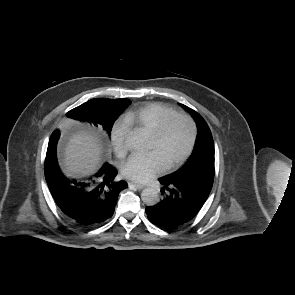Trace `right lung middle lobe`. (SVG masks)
Instances as JSON below:
<instances>
[{
    "instance_id": "1",
    "label": "right lung middle lobe",
    "mask_w": 295,
    "mask_h": 295,
    "mask_svg": "<svg viewBox=\"0 0 295 295\" xmlns=\"http://www.w3.org/2000/svg\"><path fill=\"white\" fill-rule=\"evenodd\" d=\"M131 103L128 99H92L88 102L72 109L67 113L70 118L86 121L95 126H102L104 130L110 132L115 120ZM45 178L50 180L53 174H60L56 155L45 160Z\"/></svg>"
}]
</instances>
